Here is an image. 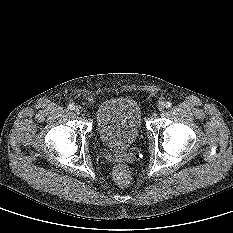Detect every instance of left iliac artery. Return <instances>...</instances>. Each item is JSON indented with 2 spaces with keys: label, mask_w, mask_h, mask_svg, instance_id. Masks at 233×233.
<instances>
[{
  "label": "left iliac artery",
  "mask_w": 233,
  "mask_h": 233,
  "mask_svg": "<svg viewBox=\"0 0 233 233\" xmlns=\"http://www.w3.org/2000/svg\"><path fill=\"white\" fill-rule=\"evenodd\" d=\"M166 108H170L172 106V103L170 101L165 103Z\"/></svg>",
  "instance_id": "obj_1"
}]
</instances>
